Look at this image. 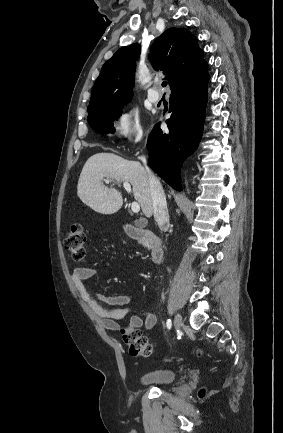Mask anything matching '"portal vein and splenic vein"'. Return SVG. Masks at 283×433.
Instances as JSON below:
<instances>
[{
	"mask_svg": "<svg viewBox=\"0 0 283 433\" xmlns=\"http://www.w3.org/2000/svg\"><path fill=\"white\" fill-rule=\"evenodd\" d=\"M104 180H105V182H109V180H107V178H104ZM123 186H124V188H126L127 192H131V184H129V182H123ZM131 208H132L133 212H139V210H140V206H139L138 202H132Z\"/></svg>",
	"mask_w": 283,
	"mask_h": 433,
	"instance_id": "1",
	"label": "portal vein and splenic vein"
}]
</instances>
